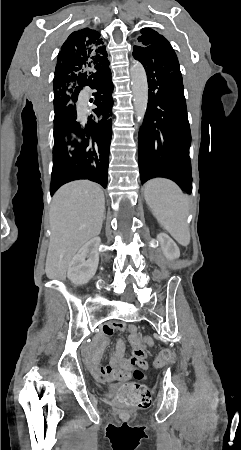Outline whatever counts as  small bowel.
Segmentation results:
<instances>
[{
    "label": "small bowel",
    "instance_id": "c3829d8e",
    "mask_svg": "<svg viewBox=\"0 0 241 450\" xmlns=\"http://www.w3.org/2000/svg\"><path fill=\"white\" fill-rule=\"evenodd\" d=\"M127 331L130 351L128 352L122 339H117L109 364L98 367V359L108 344V338L115 331ZM153 340L149 336L139 333L135 324L115 321L103 325L102 334L90 346L95 350L89 360V369L97 380L111 383L127 382L132 380L135 370L148 368L146 347L152 346Z\"/></svg>",
    "mask_w": 241,
    "mask_h": 450
}]
</instances>
